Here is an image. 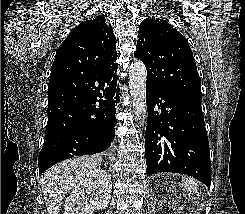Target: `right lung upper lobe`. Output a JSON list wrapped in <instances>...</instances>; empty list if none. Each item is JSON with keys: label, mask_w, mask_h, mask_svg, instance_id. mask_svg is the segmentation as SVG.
I'll list each match as a JSON object with an SVG mask.
<instances>
[{"label": "right lung upper lobe", "mask_w": 245, "mask_h": 214, "mask_svg": "<svg viewBox=\"0 0 245 214\" xmlns=\"http://www.w3.org/2000/svg\"><path fill=\"white\" fill-rule=\"evenodd\" d=\"M105 21L101 16L87 20L62 42L52 64L48 96L79 98L93 86L97 73L116 71L117 41Z\"/></svg>", "instance_id": "right-lung-upper-lobe-1"}]
</instances>
